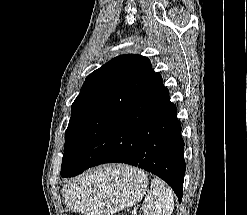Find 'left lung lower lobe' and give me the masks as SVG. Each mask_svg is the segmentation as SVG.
Returning a JSON list of instances; mask_svg holds the SVG:
<instances>
[{"label":"left lung lower lobe","instance_id":"0a47b994","mask_svg":"<svg viewBox=\"0 0 247 215\" xmlns=\"http://www.w3.org/2000/svg\"><path fill=\"white\" fill-rule=\"evenodd\" d=\"M176 115L168 89L155 73L103 137L83 143L61 176L73 177L99 164L126 163L159 176L181 202L186 164Z\"/></svg>","mask_w":247,"mask_h":215}]
</instances>
